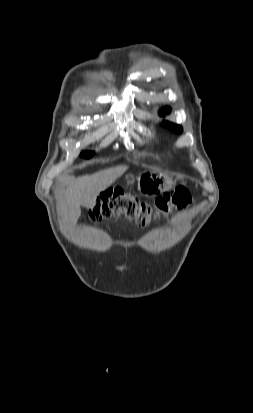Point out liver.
I'll return each instance as SVG.
<instances>
[{
  "mask_svg": "<svg viewBox=\"0 0 253 413\" xmlns=\"http://www.w3.org/2000/svg\"><path fill=\"white\" fill-rule=\"evenodd\" d=\"M127 166L108 168L92 175L79 177L72 181L65 194L62 204L63 216L66 221L76 224L81 215L80 206L93 208L97 196L122 176Z\"/></svg>",
  "mask_w": 253,
  "mask_h": 413,
  "instance_id": "1",
  "label": "liver"
}]
</instances>
